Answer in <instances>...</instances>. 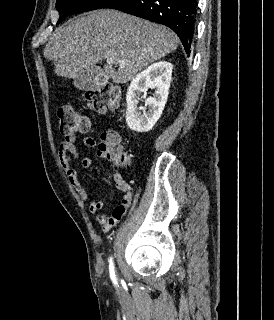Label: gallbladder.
<instances>
[{
    "label": "gallbladder",
    "mask_w": 274,
    "mask_h": 320,
    "mask_svg": "<svg viewBox=\"0 0 274 320\" xmlns=\"http://www.w3.org/2000/svg\"><path fill=\"white\" fill-rule=\"evenodd\" d=\"M74 86L78 90H101L102 85H108L109 80L103 68H78L74 73Z\"/></svg>",
    "instance_id": "obj_1"
}]
</instances>
